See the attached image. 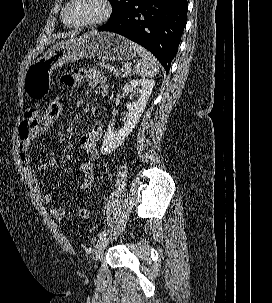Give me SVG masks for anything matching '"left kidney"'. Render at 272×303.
I'll use <instances>...</instances> for the list:
<instances>
[{"mask_svg":"<svg viewBox=\"0 0 272 303\" xmlns=\"http://www.w3.org/2000/svg\"><path fill=\"white\" fill-rule=\"evenodd\" d=\"M154 85L155 81L152 79H134L123 87V93H129L137 89L140 92V96L136 102L127 105L128 113L126 114L124 124L118 131L113 130V124L108 126L102 142V154H110L124 142L142 116Z\"/></svg>","mask_w":272,"mask_h":303,"instance_id":"5707ae66","label":"left kidney"}]
</instances>
